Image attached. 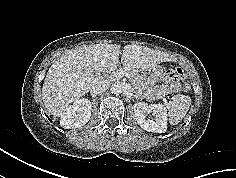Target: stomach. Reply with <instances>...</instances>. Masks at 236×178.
I'll return each instance as SVG.
<instances>
[{
  "label": "stomach",
  "mask_w": 236,
  "mask_h": 178,
  "mask_svg": "<svg viewBox=\"0 0 236 178\" xmlns=\"http://www.w3.org/2000/svg\"><path fill=\"white\" fill-rule=\"evenodd\" d=\"M162 69L159 65H154L146 69H140L141 80L149 86H153L159 81Z\"/></svg>",
  "instance_id": "0dacf381"
}]
</instances>
